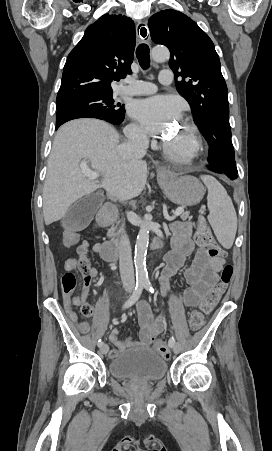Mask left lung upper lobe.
<instances>
[{
    "mask_svg": "<svg viewBox=\"0 0 272 451\" xmlns=\"http://www.w3.org/2000/svg\"><path fill=\"white\" fill-rule=\"evenodd\" d=\"M151 38L171 52L169 66L176 87L190 104L194 122L210 142L208 162L237 176L229 124L228 91L214 44L189 17L173 9L160 11L148 21ZM186 79V80H185Z\"/></svg>",
    "mask_w": 272,
    "mask_h": 451,
    "instance_id": "left-lung-upper-lobe-1",
    "label": "left lung upper lobe"
}]
</instances>
